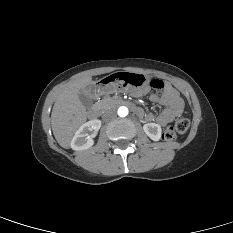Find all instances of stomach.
Masks as SVG:
<instances>
[{
  "label": "stomach",
  "instance_id": "obj_1",
  "mask_svg": "<svg viewBox=\"0 0 233 233\" xmlns=\"http://www.w3.org/2000/svg\"><path fill=\"white\" fill-rule=\"evenodd\" d=\"M150 77L143 73L134 71L120 72L114 74H105L101 78V83H94L93 88L97 96L117 91L120 88L132 89L135 86L146 85Z\"/></svg>",
  "mask_w": 233,
  "mask_h": 233
}]
</instances>
